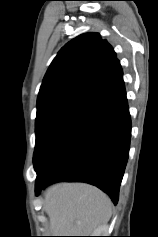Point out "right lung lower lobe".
<instances>
[{
	"label": "right lung lower lobe",
	"instance_id": "98d812e1",
	"mask_svg": "<svg viewBox=\"0 0 158 237\" xmlns=\"http://www.w3.org/2000/svg\"><path fill=\"white\" fill-rule=\"evenodd\" d=\"M131 119L121 77L71 112L34 154L36 195L47 185L86 182L118 202L129 155Z\"/></svg>",
	"mask_w": 158,
	"mask_h": 237
}]
</instances>
